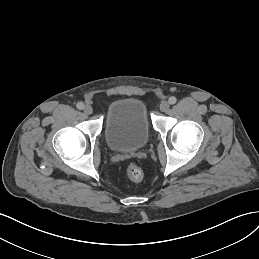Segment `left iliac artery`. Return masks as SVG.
<instances>
[{
	"mask_svg": "<svg viewBox=\"0 0 259 259\" xmlns=\"http://www.w3.org/2000/svg\"><path fill=\"white\" fill-rule=\"evenodd\" d=\"M168 101H169V103L172 105V104H175V103H176L177 99H176V97L172 96V97L169 98Z\"/></svg>",
	"mask_w": 259,
	"mask_h": 259,
	"instance_id": "1",
	"label": "left iliac artery"
}]
</instances>
